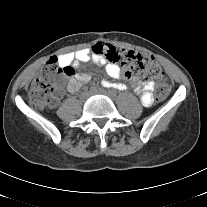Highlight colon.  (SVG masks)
<instances>
[{"mask_svg":"<svg viewBox=\"0 0 207 207\" xmlns=\"http://www.w3.org/2000/svg\"><path fill=\"white\" fill-rule=\"evenodd\" d=\"M95 52L103 55L107 61L120 65L124 77H140L146 81H164L165 75L153 56L133 50L120 49L110 44L97 43ZM74 74L70 66H61L56 56L51 57L41 67L29 90V102L34 108L54 106L61 95V85ZM169 89L162 84L157 90L156 100H163Z\"/></svg>","mask_w":207,"mask_h":207,"instance_id":"5ec220e1","label":"colon"}]
</instances>
